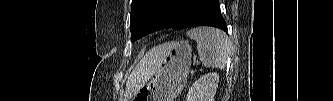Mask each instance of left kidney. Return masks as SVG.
I'll return each instance as SVG.
<instances>
[{
	"label": "left kidney",
	"mask_w": 333,
	"mask_h": 101,
	"mask_svg": "<svg viewBox=\"0 0 333 101\" xmlns=\"http://www.w3.org/2000/svg\"><path fill=\"white\" fill-rule=\"evenodd\" d=\"M219 75L210 72L197 79L190 88L187 101H214Z\"/></svg>",
	"instance_id": "5707ae66"
}]
</instances>
